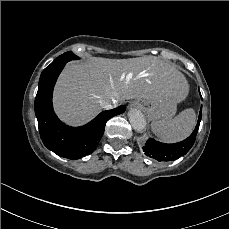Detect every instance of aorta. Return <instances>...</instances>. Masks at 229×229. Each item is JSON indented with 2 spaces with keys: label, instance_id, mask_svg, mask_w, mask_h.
<instances>
[{
  "label": "aorta",
  "instance_id": "762f6f07",
  "mask_svg": "<svg viewBox=\"0 0 229 229\" xmlns=\"http://www.w3.org/2000/svg\"><path fill=\"white\" fill-rule=\"evenodd\" d=\"M131 126L136 132H143L146 129V119L142 112L132 109L128 114Z\"/></svg>",
  "mask_w": 229,
  "mask_h": 229
}]
</instances>
